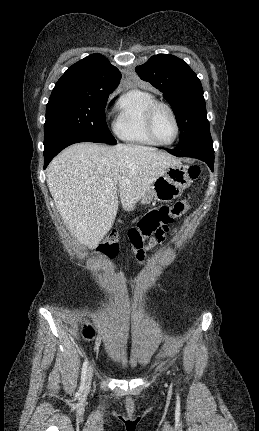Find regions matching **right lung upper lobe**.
I'll list each match as a JSON object with an SVG mask.
<instances>
[{
  "mask_svg": "<svg viewBox=\"0 0 259 431\" xmlns=\"http://www.w3.org/2000/svg\"><path fill=\"white\" fill-rule=\"evenodd\" d=\"M121 79L119 70L101 54H92L69 67L53 92L72 91L87 94L113 92Z\"/></svg>",
  "mask_w": 259,
  "mask_h": 431,
  "instance_id": "right-lung-upper-lobe-1",
  "label": "right lung upper lobe"
}]
</instances>
